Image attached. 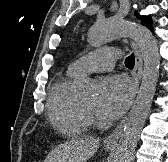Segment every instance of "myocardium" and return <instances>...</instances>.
Here are the masks:
<instances>
[{
	"label": "myocardium",
	"instance_id": "obj_1",
	"mask_svg": "<svg viewBox=\"0 0 168 162\" xmlns=\"http://www.w3.org/2000/svg\"><path fill=\"white\" fill-rule=\"evenodd\" d=\"M83 105V109L86 112L87 115H92L93 114V109L89 108L88 106H86L84 103H82Z\"/></svg>",
	"mask_w": 168,
	"mask_h": 162
}]
</instances>
